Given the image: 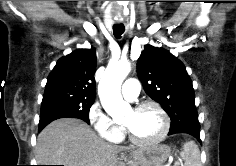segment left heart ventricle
Returning <instances> with one entry per match:
<instances>
[{"instance_id": "b2bd125f", "label": "left heart ventricle", "mask_w": 236, "mask_h": 166, "mask_svg": "<svg viewBox=\"0 0 236 166\" xmlns=\"http://www.w3.org/2000/svg\"><path fill=\"white\" fill-rule=\"evenodd\" d=\"M123 125L129 127L138 139L151 140L161 133L163 120L155 108L147 107L139 112L131 110L126 115Z\"/></svg>"}]
</instances>
